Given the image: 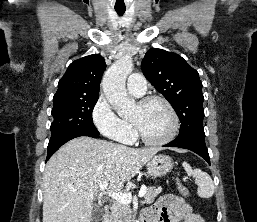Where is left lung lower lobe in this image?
I'll return each mask as SVG.
<instances>
[{"mask_svg": "<svg viewBox=\"0 0 257 222\" xmlns=\"http://www.w3.org/2000/svg\"><path fill=\"white\" fill-rule=\"evenodd\" d=\"M164 147H178L191 150L201 157H203L208 164H210V157L205 144L204 137H188L184 139H175L170 143L164 145Z\"/></svg>", "mask_w": 257, "mask_h": 222, "instance_id": "1", "label": "left lung lower lobe"}]
</instances>
